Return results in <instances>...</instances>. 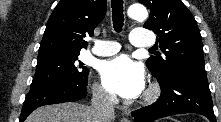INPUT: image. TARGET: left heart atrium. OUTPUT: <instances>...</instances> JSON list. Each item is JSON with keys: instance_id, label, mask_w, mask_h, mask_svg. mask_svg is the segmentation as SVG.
Segmentation results:
<instances>
[{"instance_id": "obj_1", "label": "left heart atrium", "mask_w": 221, "mask_h": 122, "mask_svg": "<svg viewBox=\"0 0 221 122\" xmlns=\"http://www.w3.org/2000/svg\"><path fill=\"white\" fill-rule=\"evenodd\" d=\"M99 71L104 87L125 99L138 97L145 88L142 66L127 55L102 62Z\"/></svg>"}]
</instances>
